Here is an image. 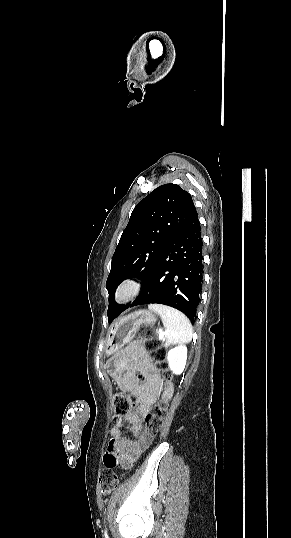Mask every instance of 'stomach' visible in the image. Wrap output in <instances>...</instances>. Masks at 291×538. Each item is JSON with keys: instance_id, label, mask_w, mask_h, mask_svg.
Returning a JSON list of instances; mask_svg holds the SVG:
<instances>
[{"instance_id": "stomach-1", "label": "stomach", "mask_w": 291, "mask_h": 538, "mask_svg": "<svg viewBox=\"0 0 291 538\" xmlns=\"http://www.w3.org/2000/svg\"><path fill=\"white\" fill-rule=\"evenodd\" d=\"M156 315L147 310H139L120 318L109 330L106 354L118 353L120 349L130 342L141 325H153Z\"/></svg>"}]
</instances>
